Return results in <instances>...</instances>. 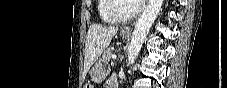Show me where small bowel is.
I'll list each match as a JSON object with an SVG mask.
<instances>
[{"label": "small bowel", "instance_id": "1", "mask_svg": "<svg viewBox=\"0 0 227 88\" xmlns=\"http://www.w3.org/2000/svg\"><path fill=\"white\" fill-rule=\"evenodd\" d=\"M114 80H116V77L115 76H113L110 79H108L106 81V87H108V88L114 87V85H113Z\"/></svg>", "mask_w": 227, "mask_h": 88}]
</instances>
